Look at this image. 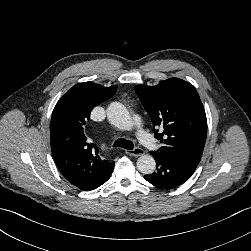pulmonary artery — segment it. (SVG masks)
Wrapping results in <instances>:
<instances>
[{
  "instance_id": "e3ab8cb5",
  "label": "pulmonary artery",
  "mask_w": 251,
  "mask_h": 251,
  "mask_svg": "<svg viewBox=\"0 0 251 251\" xmlns=\"http://www.w3.org/2000/svg\"><path fill=\"white\" fill-rule=\"evenodd\" d=\"M135 123L139 127H141V120L139 117L135 118ZM138 136H139L140 141L144 145H146L147 147H150L152 149H156L154 138L150 134H148L147 132H145L143 129L140 128Z\"/></svg>"
}]
</instances>
